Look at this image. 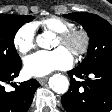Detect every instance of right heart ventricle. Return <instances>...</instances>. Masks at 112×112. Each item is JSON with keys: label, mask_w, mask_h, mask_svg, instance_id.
<instances>
[{"label": "right heart ventricle", "mask_w": 112, "mask_h": 112, "mask_svg": "<svg viewBox=\"0 0 112 112\" xmlns=\"http://www.w3.org/2000/svg\"><path fill=\"white\" fill-rule=\"evenodd\" d=\"M44 29L57 35L73 29V24L63 18L52 16L38 22Z\"/></svg>", "instance_id": "right-heart-ventricle-1"}]
</instances>
